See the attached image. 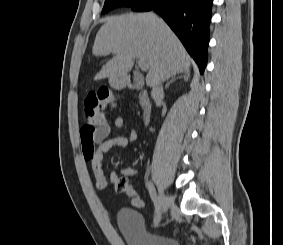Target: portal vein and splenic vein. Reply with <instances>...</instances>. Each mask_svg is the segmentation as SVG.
I'll use <instances>...</instances> for the list:
<instances>
[{
    "mask_svg": "<svg viewBox=\"0 0 283 245\" xmlns=\"http://www.w3.org/2000/svg\"><path fill=\"white\" fill-rule=\"evenodd\" d=\"M138 66L142 71H146L148 69V65L146 64V62L141 60L138 61Z\"/></svg>",
    "mask_w": 283,
    "mask_h": 245,
    "instance_id": "portal-vein-and-splenic-vein-1",
    "label": "portal vein and splenic vein"
}]
</instances>
